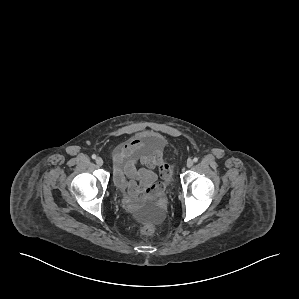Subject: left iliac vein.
<instances>
[{
    "label": "left iliac vein",
    "instance_id": "obj_1",
    "mask_svg": "<svg viewBox=\"0 0 299 299\" xmlns=\"http://www.w3.org/2000/svg\"><path fill=\"white\" fill-rule=\"evenodd\" d=\"M186 165L188 168H191L193 166V160H191V159L187 160Z\"/></svg>",
    "mask_w": 299,
    "mask_h": 299
}]
</instances>
